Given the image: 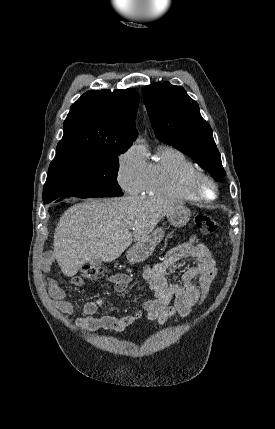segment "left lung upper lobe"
Masks as SVG:
<instances>
[{
  "instance_id": "left-lung-upper-lobe-1",
  "label": "left lung upper lobe",
  "mask_w": 275,
  "mask_h": 429,
  "mask_svg": "<svg viewBox=\"0 0 275 429\" xmlns=\"http://www.w3.org/2000/svg\"><path fill=\"white\" fill-rule=\"evenodd\" d=\"M143 98L156 137L191 157L219 182L226 175L210 125L199 106L181 86L153 83L143 89Z\"/></svg>"
}]
</instances>
